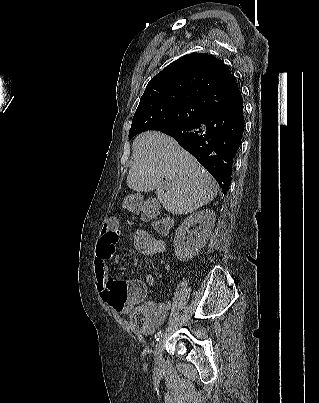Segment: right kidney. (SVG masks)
Masks as SVG:
<instances>
[{
  "label": "right kidney",
  "instance_id": "obj_1",
  "mask_svg": "<svg viewBox=\"0 0 319 403\" xmlns=\"http://www.w3.org/2000/svg\"><path fill=\"white\" fill-rule=\"evenodd\" d=\"M199 224V233L195 232L186 237L191 226ZM215 225V213L205 209L187 217L178 227L173 241L175 256L181 262H186L196 256L206 245Z\"/></svg>",
  "mask_w": 319,
  "mask_h": 403
}]
</instances>
